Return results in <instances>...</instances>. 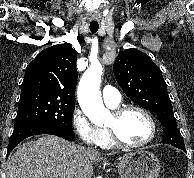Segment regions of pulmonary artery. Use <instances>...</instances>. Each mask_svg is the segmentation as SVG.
I'll return each mask as SVG.
<instances>
[{"label":"pulmonary artery","instance_id":"e3ab8cb5","mask_svg":"<svg viewBox=\"0 0 194 178\" xmlns=\"http://www.w3.org/2000/svg\"><path fill=\"white\" fill-rule=\"evenodd\" d=\"M102 97L108 106H118L121 102V95L119 91L110 85H107L103 88Z\"/></svg>","mask_w":194,"mask_h":178}]
</instances>
